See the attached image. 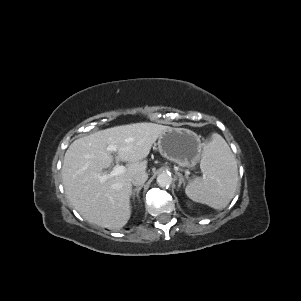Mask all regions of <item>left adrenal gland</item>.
Instances as JSON below:
<instances>
[{"label": "left adrenal gland", "instance_id": "a2214340", "mask_svg": "<svg viewBox=\"0 0 301 301\" xmlns=\"http://www.w3.org/2000/svg\"><path fill=\"white\" fill-rule=\"evenodd\" d=\"M176 174L179 176V184H178V188H180L182 184H185L184 178H183V176H182L181 173L176 172Z\"/></svg>", "mask_w": 301, "mask_h": 301}]
</instances>
